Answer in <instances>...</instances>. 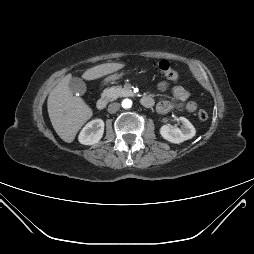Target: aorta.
Listing matches in <instances>:
<instances>
[{
  "label": "aorta",
  "mask_w": 254,
  "mask_h": 254,
  "mask_svg": "<svg viewBox=\"0 0 254 254\" xmlns=\"http://www.w3.org/2000/svg\"><path fill=\"white\" fill-rule=\"evenodd\" d=\"M131 106H132V101H131L130 99H124V100L122 101V107H123L124 109L131 108Z\"/></svg>",
  "instance_id": "1"
}]
</instances>
